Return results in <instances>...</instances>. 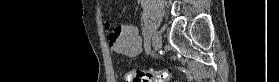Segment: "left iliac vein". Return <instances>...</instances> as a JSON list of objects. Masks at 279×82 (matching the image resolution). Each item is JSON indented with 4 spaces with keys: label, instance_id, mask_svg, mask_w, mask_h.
Here are the masks:
<instances>
[{
    "label": "left iliac vein",
    "instance_id": "1",
    "mask_svg": "<svg viewBox=\"0 0 279 82\" xmlns=\"http://www.w3.org/2000/svg\"><path fill=\"white\" fill-rule=\"evenodd\" d=\"M152 44H153L155 51L159 50L162 47V37H161V34L157 31H155L153 34Z\"/></svg>",
    "mask_w": 279,
    "mask_h": 82
}]
</instances>
